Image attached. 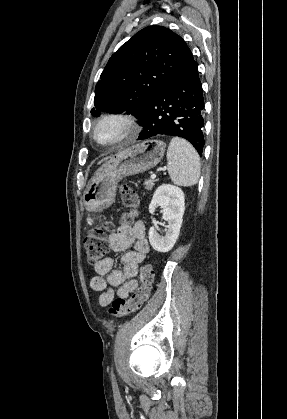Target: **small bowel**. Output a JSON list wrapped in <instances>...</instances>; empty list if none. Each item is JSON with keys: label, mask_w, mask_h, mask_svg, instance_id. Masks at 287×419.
<instances>
[{"label": "small bowel", "mask_w": 287, "mask_h": 419, "mask_svg": "<svg viewBox=\"0 0 287 419\" xmlns=\"http://www.w3.org/2000/svg\"><path fill=\"white\" fill-rule=\"evenodd\" d=\"M109 245L113 252L123 253V268L114 269V261L110 257L95 265L97 276L92 278L91 286L100 293L99 303L102 306L109 305L115 296L127 298L137 289L139 265L150 250L145 224L137 221L132 225H121L109 236ZM131 246L133 249H129Z\"/></svg>", "instance_id": "1"}]
</instances>
